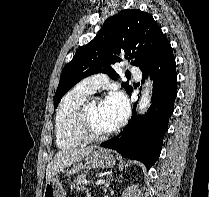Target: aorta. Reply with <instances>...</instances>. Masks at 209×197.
<instances>
[{"mask_svg": "<svg viewBox=\"0 0 209 197\" xmlns=\"http://www.w3.org/2000/svg\"><path fill=\"white\" fill-rule=\"evenodd\" d=\"M151 89H152V82L150 80H147L144 84L138 104V112L140 114L144 113L151 104Z\"/></svg>", "mask_w": 209, "mask_h": 197, "instance_id": "aorta-1", "label": "aorta"}]
</instances>
